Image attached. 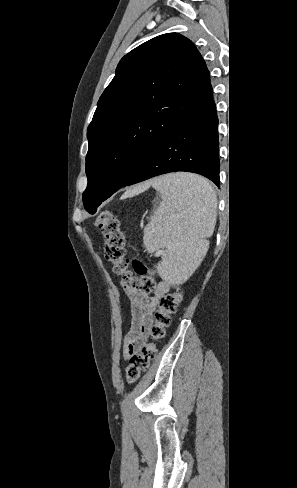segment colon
Listing matches in <instances>:
<instances>
[{"label": "colon", "mask_w": 297, "mask_h": 488, "mask_svg": "<svg viewBox=\"0 0 297 488\" xmlns=\"http://www.w3.org/2000/svg\"><path fill=\"white\" fill-rule=\"evenodd\" d=\"M96 226L104 236L105 258L113 264L115 273L121 275L125 282L140 293L147 294L155 290L154 275L143 262L134 261L136 276H132L127 271L125 236L121 230L119 217L111 211L105 210L98 215ZM183 296L184 288L178 286L174 292L160 298L150 328L151 341L143 345L138 353L131 356L126 367V379L129 383L135 382L143 372H146L151 361L156 357L157 343L165 336L166 329L171 323V315L177 310Z\"/></svg>", "instance_id": "colon-1"}]
</instances>
